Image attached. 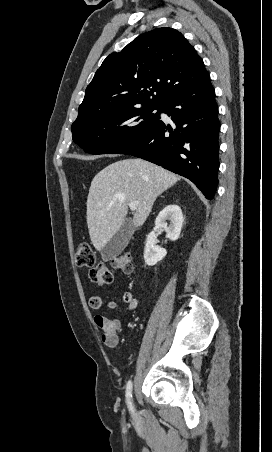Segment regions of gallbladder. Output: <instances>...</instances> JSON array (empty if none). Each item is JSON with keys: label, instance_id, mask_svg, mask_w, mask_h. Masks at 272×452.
<instances>
[{"label": "gallbladder", "instance_id": "gallbladder-1", "mask_svg": "<svg viewBox=\"0 0 272 452\" xmlns=\"http://www.w3.org/2000/svg\"><path fill=\"white\" fill-rule=\"evenodd\" d=\"M134 230L135 226L132 220H125L117 233L102 248V259L109 261L111 258L118 256L127 247Z\"/></svg>", "mask_w": 272, "mask_h": 452}]
</instances>
